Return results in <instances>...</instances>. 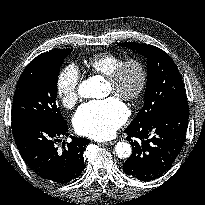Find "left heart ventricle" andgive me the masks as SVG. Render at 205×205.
<instances>
[{
    "mask_svg": "<svg viewBox=\"0 0 205 205\" xmlns=\"http://www.w3.org/2000/svg\"><path fill=\"white\" fill-rule=\"evenodd\" d=\"M138 79H139L138 70L133 66L129 67L126 70L124 75V79L121 85L122 90L125 92L134 90L137 86ZM107 86H108V92L113 93L111 86L109 84Z\"/></svg>",
    "mask_w": 205,
    "mask_h": 205,
    "instance_id": "left-heart-ventricle-1",
    "label": "left heart ventricle"
}]
</instances>
